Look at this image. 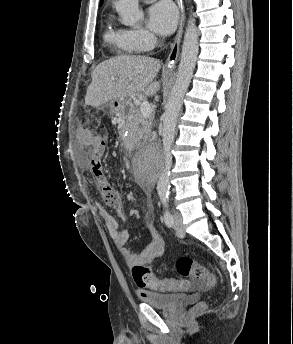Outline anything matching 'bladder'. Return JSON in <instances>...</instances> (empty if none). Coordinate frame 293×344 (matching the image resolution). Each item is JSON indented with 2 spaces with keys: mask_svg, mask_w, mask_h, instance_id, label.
<instances>
[{
  "mask_svg": "<svg viewBox=\"0 0 293 344\" xmlns=\"http://www.w3.org/2000/svg\"><path fill=\"white\" fill-rule=\"evenodd\" d=\"M141 299L145 304L151 307L164 310H173L178 305L189 300L183 294L163 293L156 291L145 292L142 295Z\"/></svg>",
  "mask_w": 293,
  "mask_h": 344,
  "instance_id": "obj_1",
  "label": "bladder"
}]
</instances>
